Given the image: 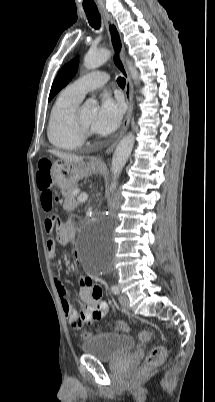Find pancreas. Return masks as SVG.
Returning <instances> with one entry per match:
<instances>
[{
  "label": "pancreas",
  "mask_w": 215,
  "mask_h": 402,
  "mask_svg": "<svg viewBox=\"0 0 215 402\" xmlns=\"http://www.w3.org/2000/svg\"><path fill=\"white\" fill-rule=\"evenodd\" d=\"M76 189L77 186H74L65 191V201L63 207L67 211H72L79 205V202L76 200L77 195L74 194Z\"/></svg>",
  "instance_id": "1"
}]
</instances>
